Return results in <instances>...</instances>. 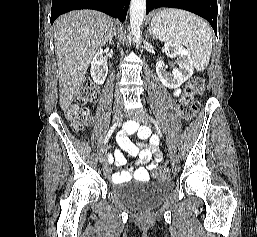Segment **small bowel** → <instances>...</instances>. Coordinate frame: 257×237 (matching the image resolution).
Instances as JSON below:
<instances>
[{
	"label": "small bowel",
	"instance_id": "small-bowel-1",
	"mask_svg": "<svg viewBox=\"0 0 257 237\" xmlns=\"http://www.w3.org/2000/svg\"><path fill=\"white\" fill-rule=\"evenodd\" d=\"M176 95L179 94L177 91ZM136 133L140 139H148L149 146H144L141 143L133 144L129 141L127 135ZM117 141L120 148L116 149L109 157V162H113L115 165H123L125 163V153L138 156V164H146L147 167H139L137 169H126L112 175L114 183H124L130 180L132 177L139 181H148L149 172L157 166L161 158V152L158 148V139L151 135L150 130L147 127H138L133 122H127L123 127V132L118 136Z\"/></svg>",
	"mask_w": 257,
	"mask_h": 237
}]
</instances>
